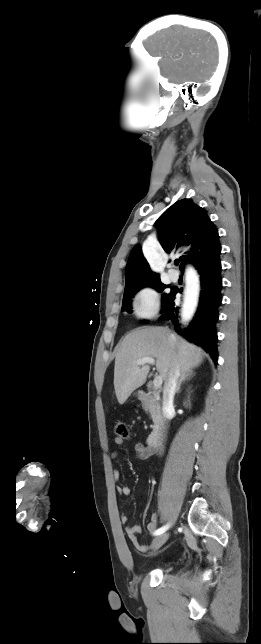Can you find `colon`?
Here are the masks:
<instances>
[{"label": "colon", "instance_id": "obj_1", "mask_svg": "<svg viewBox=\"0 0 261 644\" xmlns=\"http://www.w3.org/2000/svg\"><path fill=\"white\" fill-rule=\"evenodd\" d=\"M115 434L116 437L125 439L128 437L129 432H128V426L125 422L119 421L115 425Z\"/></svg>", "mask_w": 261, "mask_h": 644}]
</instances>
